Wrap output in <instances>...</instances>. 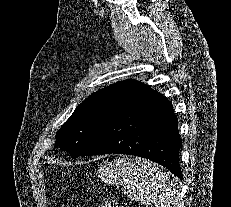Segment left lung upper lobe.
Returning <instances> with one entry per match:
<instances>
[{
	"label": "left lung upper lobe",
	"instance_id": "obj_1",
	"mask_svg": "<svg viewBox=\"0 0 231 207\" xmlns=\"http://www.w3.org/2000/svg\"><path fill=\"white\" fill-rule=\"evenodd\" d=\"M144 85L120 81L85 99L56 133V145L76 158L87 150L106 122Z\"/></svg>",
	"mask_w": 231,
	"mask_h": 207
}]
</instances>
